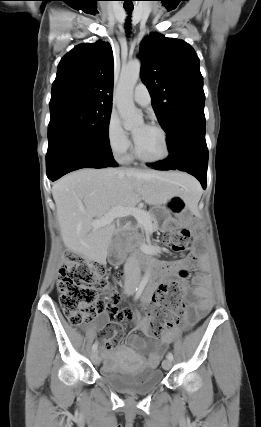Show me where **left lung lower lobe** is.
Segmentation results:
<instances>
[{"label": "left lung lower lobe", "mask_w": 261, "mask_h": 427, "mask_svg": "<svg viewBox=\"0 0 261 427\" xmlns=\"http://www.w3.org/2000/svg\"><path fill=\"white\" fill-rule=\"evenodd\" d=\"M205 116L185 115L167 131L169 157L148 164L156 170H181L195 176L206 188L208 149L205 141Z\"/></svg>", "instance_id": "obj_1"}]
</instances>
